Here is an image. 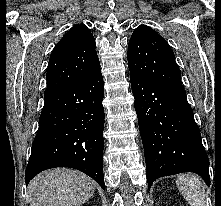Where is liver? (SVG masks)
<instances>
[{
    "label": "liver",
    "instance_id": "obj_1",
    "mask_svg": "<svg viewBox=\"0 0 221 206\" xmlns=\"http://www.w3.org/2000/svg\"><path fill=\"white\" fill-rule=\"evenodd\" d=\"M95 187V181L80 171H46L29 184L30 206H81L91 198Z\"/></svg>",
    "mask_w": 221,
    "mask_h": 206
}]
</instances>
